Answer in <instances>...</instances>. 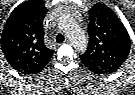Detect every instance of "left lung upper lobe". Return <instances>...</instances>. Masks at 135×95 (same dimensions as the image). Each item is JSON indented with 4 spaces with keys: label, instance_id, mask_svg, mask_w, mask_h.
<instances>
[{
    "label": "left lung upper lobe",
    "instance_id": "5c2ea615",
    "mask_svg": "<svg viewBox=\"0 0 135 95\" xmlns=\"http://www.w3.org/2000/svg\"><path fill=\"white\" fill-rule=\"evenodd\" d=\"M89 13V42L80 59L94 73L113 72L127 59L129 35L118 18L105 8L93 7Z\"/></svg>",
    "mask_w": 135,
    "mask_h": 95
}]
</instances>
